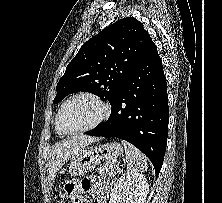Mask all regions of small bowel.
<instances>
[{
  "mask_svg": "<svg viewBox=\"0 0 222 203\" xmlns=\"http://www.w3.org/2000/svg\"><path fill=\"white\" fill-rule=\"evenodd\" d=\"M108 189V184H102L95 178L85 179L74 184L73 203H83L86 194H94L97 203H104Z\"/></svg>",
  "mask_w": 222,
  "mask_h": 203,
  "instance_id": "1",
  "label": "small bowel"
}]
</instances>
